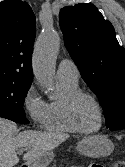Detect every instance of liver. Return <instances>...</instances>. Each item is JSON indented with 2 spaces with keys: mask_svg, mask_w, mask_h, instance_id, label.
I'll list each match as a JSON object with an SVG mask.
<instances>
[{
  "mask_svg": "<svg viewBox=\"0 0 125 167\" xmlns=\"http://www.w3.org/2000/svg\"><path fill=\"white\" fill-rule=\"evenodd\" d=\"M17 125L9 120L0 118V167H13L19 162L16 150L28 148L24 161H31L46 151H51L69 135L64 133L37 132L25 130L18 134Z\"/></svg>",
  "mask_w": 125,
  "mask_h": 167,
  "instance_id": "6515ba94",
  "label": "liver"
}]
</instances>
